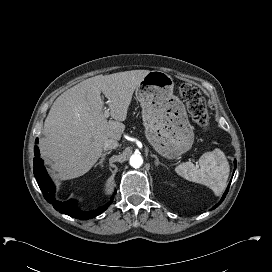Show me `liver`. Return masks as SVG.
Instances as JSON below:
<instances>
[{"label":"liver","instance_id":"6515ba94","mask_svg":"<svg viewBox=\"0 0 272 272\" xmlns=\"http://www.w3.org/2000/svg\"><path fill=\"white\" fill-rule=\"evenodd\" d=\"M149 70H131L88 78L62 93L53 103L39 140L42 157L68 180L87 173L101 157L107 139L119 141L125 130L132 95ZM101 92L110 116L104 118Z\"/></svg>","mask_w":272,"mask_h":272}]
</instances>
